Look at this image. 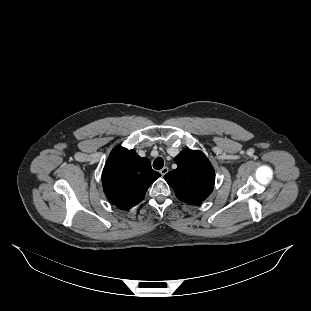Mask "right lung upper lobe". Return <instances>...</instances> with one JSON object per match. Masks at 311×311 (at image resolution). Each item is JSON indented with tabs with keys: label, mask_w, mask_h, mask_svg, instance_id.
Instances as JSON below:
<instances>
[{
	"label": "right lung upper lobe",
	"mask_w": 311,
	"mask_h": 311,
	"mask_svg": "<svg viewBox=\"0 0 311 311\" xmlns=\"http://www.w3.org/2000/svg\"><path fill=\"white\" fill-rule=\"evenodd\" d=\"M161 174L148 158L134 150L115 148L104 167L102 184L107 199L119 209H129L144 199L149 186Z\"/></svg>",
	"instance_id": "obj_1"
}]
</instances>
